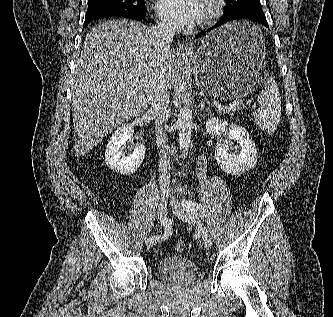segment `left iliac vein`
Returning a JSON list of instances; mask_svg holds the SVG:
<instances>
[{"label": "left iliac vein", "mask_w": 333, "mask_h": 317, "mask_svg": "<svg viewBox=\"0 0 333 317\" xmlns=\"http://www.w3.org/2000/svg\"><path fill=\"white\" fill-rule=\"evenodd\" d=\"M171 206L174 211V213L180 218L182 221L187 222L195 227L198 228L202 240L204 243V246L207 250L211 249L212 246V239L209 234V231L207 228L204 226V224L200 221V219L197 217L196 213L191 211L188 201H181L179 202L175 198H172L171 200Z\"/></svg>", "instance_id": "1"}]
</instances>
